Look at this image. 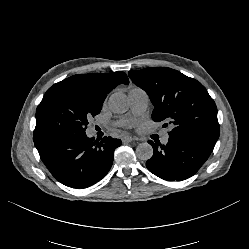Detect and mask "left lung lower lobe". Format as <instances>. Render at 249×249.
<instances>
[{
    "label": "left lung lower lobe",
    "instance_id": "0a47b994",
    "mask_svg": "<svg viewBox=\"0 0 249 249\" xmlns=\"http://www.w3.org/2000/svg\"><path fill=\"white\" fill-rule=\"evenodd\" d=\"M217 139L188 132L169 133L166 145L149 140L153 156L146 167L156 176L170 181L185 180L194 175L212 153Z\"/></svg>",
    "mask_w": 249,
    "mask_h": 249
}]
</instances>
